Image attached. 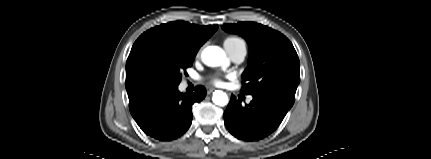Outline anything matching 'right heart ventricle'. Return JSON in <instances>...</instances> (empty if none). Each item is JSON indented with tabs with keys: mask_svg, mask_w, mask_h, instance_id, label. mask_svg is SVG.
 <instances>
[{
	"mask_svg": "<svg viewBox=\"0 0 431 159\" xmlns=\"http://www.w3.org/2000/svg\"><path fill=\"white\" fill-rule=\"evenodd\" d=\"M241 42L243 41L238 37H227L224 41V45L225 47H232Z\"/></svg>",
	"mask_w": 431,
	"mask_h": 159,
	"instance_id": "obj_1",
	"label": "right heart ventricle"
}]
</instances>
